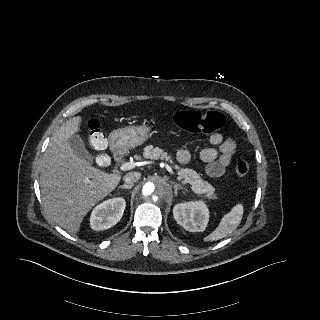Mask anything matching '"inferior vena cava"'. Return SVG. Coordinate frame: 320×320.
Segmentation results:
<instances>
[{"label": "inferior vena cava", "instance_id": "1", "mask_svg": "<svg viewBox=\"0 0 320 320\" xmlns=\"http://www.w3.org/2000/svg\"><path fill=\"white\" fill-rule=\"evenodd\" d=\"M141 177V174L139 172H129L127 173L124 177L123 180L125 181V183L127 184H133L135 182H137Z\"/></svg>", "mask_w": 320, "mask_h": 320}]
</instances>
